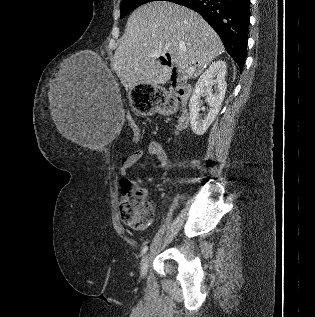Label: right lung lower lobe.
<instances>
[{
    "instance_id": "1",
    "label": "right lung lower lobe",
    "mask_w": 315,
    "mask_h": 317,
    "mask_svg": "<svg viewBox=\"0 0 315 317\" xmlns=\"http://www.w3.org/2000/svg\"><path fill=\"white\" fill-rule=\"evenodd\" d=\"M198 12L218 33L226 51L243 68L246 59L250 0H175Z\"/></svg>"
}]
</instances>
